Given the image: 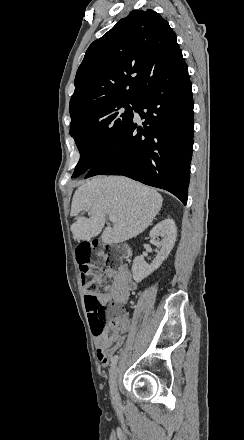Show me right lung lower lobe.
<instances>
[{
  "instance_id": "right-lung-lower-lobe-1",
  "label": "right lung lower lobe",
  "mask_w": 244,
  "mask_h": 440,
  "mask_svg": "<svg viewBox=\"0 0 244 440\" xmlns=\"http://www.w3.org/2000/svg\"><path fill=\"white\" fill-rule=\"evenodd\" d=\"M134 119L87 171L85 178L123 175L167 190L187 203L193 147V99L186 63L148 81Z\"/></svg>"
}]
</instances>
